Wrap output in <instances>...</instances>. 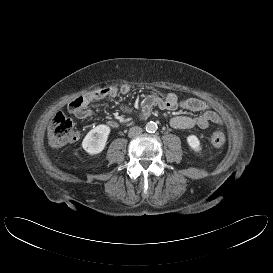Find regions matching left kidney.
I'll return each mask as SVG.
<instances>
[{
    "label": "left kidney",
    "instance_id": "left-kidney-1",
    "mask_svg": "<svg viewBox=\"0 0 273 273\" xmlns=\"http://www.w3.org/2000/svg\"><path fill=\"white\" fill-rule=\"evenodd\" d=\"M187 143L190 146V148L193 149L195 152H200L202 149L200 145V141L198 137L195 135H189L187 137Z\"/></svg>",
    "mask_w": 273,
    "mask_h": 273
}]
</instances>
